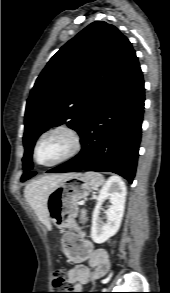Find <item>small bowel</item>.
<instances>
[{"mask_svg":"<svg viewBox=\"0 0 170 293\" xmlns=\"http://www.w3.org/2000/svg\"><path fill=\"white\" fill-rule=\"evenodd\" d=\"M64 250L68 259L77 264L68 271L67 282L75 290L103 277L111 267L103 249H93L92 243L81 233L68 231L63 236ZM87 261L88 266L82 264ZM89 267L93 269L90 272Z\"/></svg>","mask_w":170,"mask_h":293,"instance_id":"1","label":"small bowel"}]
</instances>
